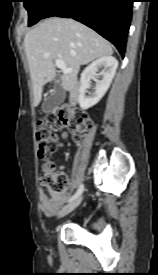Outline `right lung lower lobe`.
<instances>
[{
    "mask_svg": "<svg viewBox=\"0 0 158 275\" xmlns=\"http://www.w3.org/2000/svg\"><path fill=\"white\" fill-rule=\"evenodd\" d=\"M133 2L134 0H57L43 18H73L112 42L124 57Z\"/></svg>",
    "mask_w": 158,
    "mask_h": 275,
    "instance_id": "98d812e1",
    "label": "right lung lower lobe"
}]
</instances>
